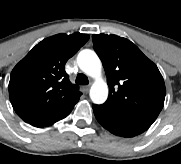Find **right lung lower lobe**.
Listing matches in <instances>:
<instances>
[{
	"label": "right lung lower lobe",
	"instance_id": "right-lung-lower-lobe-1",
	"mask_svg": "<svg viewBox=\"0 0 181 164\" xmlns=\"http://www.w3.org/2000/svg\"><path fill=\"white\" fill-rule=\"evenodd\" d=\"M33 126H35V127H44V126H40V125H33Z\"/></svg>",
	"mask_w": 181,
	"mask_h": 164
}]
</instances>
